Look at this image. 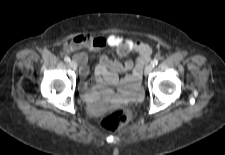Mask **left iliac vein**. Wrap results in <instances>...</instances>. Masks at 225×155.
<instances>
[{"label":"left iliac vein","instance_id":"4c4485c4","mask_svg":"<svg viewBox=\"0 0 225 155\" xmlns=\"http://www.w3.org/2000/svg\"><path fill=\"white\" fill-rule=\"evenodd\" d=\"M154 66L153 64H148L146 67H145V70H144V74L147 76L152 70H153Z\"/></svg>","mask_w":225,"mask_h":155}]
</instances>
